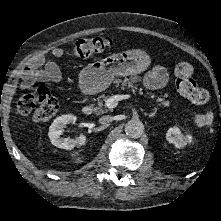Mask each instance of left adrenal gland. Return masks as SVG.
<instances>
[{
    "label": "left adrenal gland",
    "instance_id": "obj_1",
    "mask_svg": "<svg viewBox=\"0 0 221 221\" xmlns=\"http://www.w3.org/2000/svg\"><path fill=\"white\" fill-rule=\"evenodd\" d=\"M156 112H157V109H155V111H154L153 113H150L148 116H149V117H154L155 114H156Z\"/></svg>",
    "mask_w": 221,
    "mask_h": 221
}]
</instances>
